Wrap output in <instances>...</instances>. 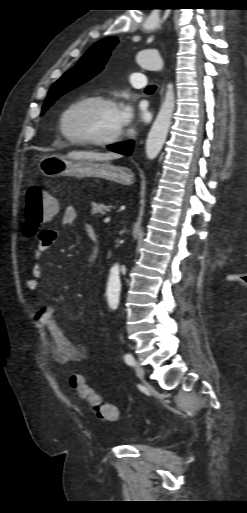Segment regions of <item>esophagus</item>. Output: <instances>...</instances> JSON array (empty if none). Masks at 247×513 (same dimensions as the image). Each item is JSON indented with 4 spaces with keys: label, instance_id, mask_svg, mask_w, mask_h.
Here are the masks:
<instances>
[{
    "label": "esophagus",
    "instance_id": "34e87169",
    "mask_svg": "<svg viewBox=\"0 0 247 513\" xmlns=\"http://www.w3.org/2000/svg\"><path fill=\"white\" fill-rule=\"evenodd\" d=\"M163 93H164V84L161 86V89H160L161 99L163 97Z\"/></svg>",
    "mask_w": 247,
    "mask_h": 513
}]
</instances>
